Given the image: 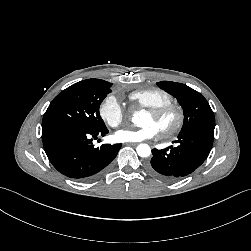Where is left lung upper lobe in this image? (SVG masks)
Segmentation results:
<instances>
[{
    "instance_id": "left-lung-upper-lobe-1",
    "label": "left lung upper lobe",
    "mask_w": 251,
    "mask_h": 251,
    "mask_svg": "<svg viewBox=\"0 0 251 251\" xmlns=\"http://www.w3.org/2000/svg\"><path fill=\"white\" fill-rule=\"evenodd\" d=\"M157 85L178 99L184 109V123L179 134L193 130L214 132L215 117L207 100L185 84L161 81Z\"/></svg>"
}]
</instances>
